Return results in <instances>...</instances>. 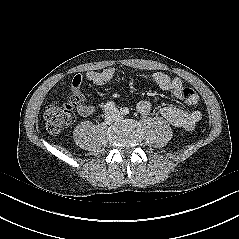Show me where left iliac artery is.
<instances>
[{"label":"left iliac artery","mask_w":239,"mask_h":239,"mask_svg":"<svg viewBox=\"0 0 239 239\" xmlns=\"http://www.w3.org/2000/svg\"><path fill=\"white\" fill-rule=\"evenodd\" d=\"M121 113L123 115H127V114H129V109L125 107V108L121 109Z\"/></svg>","instance_id":"left-iliac-artery-1"}]
</instances>
